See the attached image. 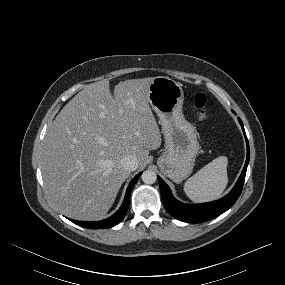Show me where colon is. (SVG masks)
I'll return each instance as SVG.
<instances>
[{"mask_svg": "<svg viewBox=\"0 0 285 285\" xmlns=\"http://www.w3.org/2000/svg\"><path fill=\"white\" fill-rule=\"evenodd\" d=\"M195 107L198 110L199 119L202 121L209 119V110H208V99L204 93H199L196 95L194 100Z\"/></svg>", "mask_w": 285, "mask_h": 285, "instance_id": "1", "label": "colon"}]
</instances>
